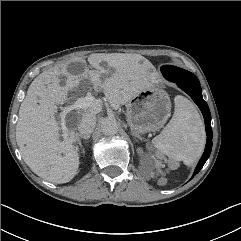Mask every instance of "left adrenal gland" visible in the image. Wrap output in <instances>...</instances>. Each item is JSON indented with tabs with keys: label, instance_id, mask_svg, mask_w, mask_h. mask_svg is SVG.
I'll list each match as a JSON object with an SVG mask.
<instances>
[{
	"label": "left adrenal gland",
	"instance_id": "obj_1",
	"mask_svg": "<svg viewBox=\"0 0 241 241\" xmlns=\"http://www.w3.org/2000/svg\"><path fill=\"white\" fill-rule=\"evenodd\" d=\"M135 137L139 138L140 140H142V137L140 135H136V134H133Z\"/></svg>",
	"mask_w": 241,
	"mask_h": 241
}]
</instances>
